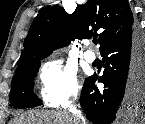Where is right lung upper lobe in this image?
<instances>
[{
  "mask_svg": "<svg viewBox=\"0 0 145 124\" xmlns=\"http://www.w3.org/2000/svg\"><path fill=\"white\" fill-rule=\"evenodd\" d=\"M60 6H45L33 20L24 41L16 73L48 56L56 48L76 38H89L96 31L100 48L110 39L123 34L134 24L127 0H87L69 15ZM15 73V74H16Z\"/></svg>",
  "mask_w": 145,
  "mask_h": 124,
  "instance_id": "right-lung-upper-lobe-1",
  "label": "right lung upper lobe"
}]
</instances>
